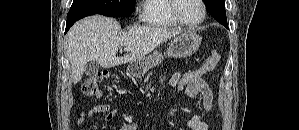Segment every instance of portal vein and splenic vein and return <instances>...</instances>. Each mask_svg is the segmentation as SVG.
Listing matches in <instances>:
<instances>
[{"mask_svg":"<svg viewBox=\"0 0 299 130\" xmlns=\"http://www.w3.org/2000/svg\"><path fill=\"white\" fill-rule=\"evenodd\" d=\"M130 50H131L130 47H125V48H124V51H130Z\"/></svg>","mask_w":299,"mask_h":130,"instance_id":"obj_1","label":"portal vein and splenic vein"}]
</instances>
